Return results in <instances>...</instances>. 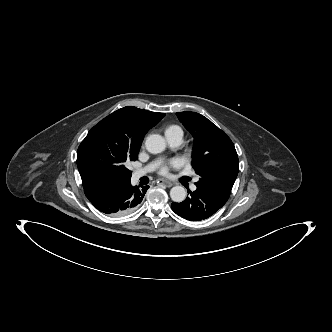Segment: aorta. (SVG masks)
I'll return each mask as SVG.
<instances>
[{
	"instance_id": "aorta-1",
	"label": "aorta",
	"mask_w": 332,
	"mask_h": 332,
	"mask_svg": "<svg viewBox=\"0 0 332 332\" xmlns=\"http://www.w3.org/2000/svg\"><path fill=\"white\" fill-rule=\"evenodd\" d=\"M145 147L148 152L158 154L165 150L166 143L161 135L152 134L146 138ZM170 197L174 202H183L186 198V191L182 186H174L170 190Z\"/></svg>"
}]
</instances>
